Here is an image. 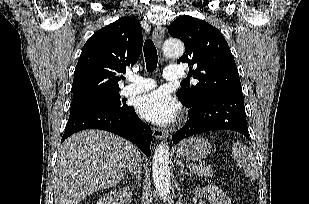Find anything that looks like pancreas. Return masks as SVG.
Instances as JSON below:
<instances>
[{"label":"pancreas","mask_w":309,"mask_h":204,"mask_svg":"<svg viewBox=\"0 0 309 204\" xmlns=\"http://www.w3.org/2000/svg\"><path fill=\"white\" fill-rule=\"evenodd\" d=\"M190 171L199 177H210L214 173L212 167L205 163H199L198 165L190 164Z\"/></svg>","instance_id":"pancreas-1"}]
</instances>
